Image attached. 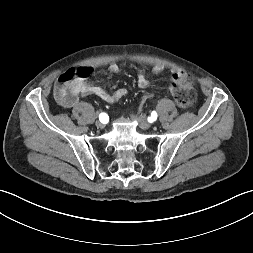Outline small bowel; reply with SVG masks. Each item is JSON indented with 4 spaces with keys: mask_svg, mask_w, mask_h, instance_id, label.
Returning <instances> with one entry per match:
<instances>
[{
    "mask_svg": "<svg viewBox=\"0 0 253 253\" xmlns=\"http://www.w3.org/2000/svg\"><path fill=\"white\" fill-rule=\"evenodd\" d=\"M163 69L164 68L162 65H155L152 69V72L154 74H159L163 71ZM119 70L120 68L117 64H112L109 66V71L111 73H118ZM171 73L173 82H178L184 77H186L185 72L181 69L174 68L171 70ZM137 83L140 88H146L149 86L150 82L144 70L138 71ZM72 91H73V99L69 102H61L63 106L68 108L72 107L76 104L78 97L88 95H95L100 99H102L103 101L113 104L121 100L128 93L125 88H121L113 93H110L100 86L91 85L86 81L85 78L77 79L72 85Z\"/></svg>",
    "mask_w": 253,
    "mask_h": 253,
    "instance_id": "c3829d8e",
    "label": "small bowel"
}]
</instances>
